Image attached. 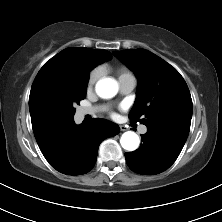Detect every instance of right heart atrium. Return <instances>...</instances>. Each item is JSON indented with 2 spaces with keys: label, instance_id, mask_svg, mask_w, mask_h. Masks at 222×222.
Masks as SVG:
<instances>
[{
  "label": "right heart atrium",
  "instance_id": "obj_1",
  "mask_svg": "<svg viewBox=\"0 0 222 222\" xmlns=\"http://www.w3.org/2000/svg\"><path fill=\"white\" fill-rule=\"evenodd\" d=\"M101 76V71L99 68H95L91 71L88 78V88H92L94 84L98 81Z\"/></svg>",
  "mask_w": 222,
  "mask_h": 222
}]
</instances>
